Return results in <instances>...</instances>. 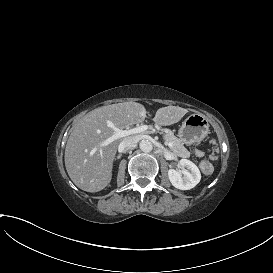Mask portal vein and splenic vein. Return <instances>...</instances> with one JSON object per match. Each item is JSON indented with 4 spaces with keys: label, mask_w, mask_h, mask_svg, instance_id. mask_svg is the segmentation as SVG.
<instances>
[{
    "label": "portal vein and splenic vein",
    "mask_w": 273,
    "mask_h": 273,
    "mask_svg": "<svg viewBox=\"0 0 273 273\" xmlns=\"http://www.w3.org/2000/svg\"><path fill=\"white\" fill-rule=\"evenodd\" d=\"M145 130H146V126H143V125L139 126V127H136V128H132V129H126V130H121V129L116 128L115 129V134H113L111 137L106 139L105 144H109V143L113 142L116 139L127 137V136L132 135V134L141 133V132H143ZM164 145L168 146L170 148L174 147V144L171 143V142H168V141H165Z\"/></svg>",
    "instance_id": "obj_1"
}]
</instances>
